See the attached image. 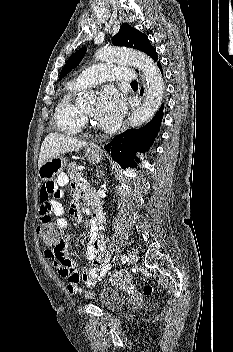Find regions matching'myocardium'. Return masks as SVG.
<instances>
[{"mask_svg":"<svg viewBox=\"0 0 233 352\" xmlns=\"http://www.w3.org/2000/svg\"><path fill=\"white\" fill-rule=\"evenodd\" d=\"M81 114H82L84 125L89 128H95V124L92 118L83 109H81Z\"/></svg>","mask_w":233,"mask_h":352,"instance_id":"myocardium-1","label":"myocardium"}]
</instances>
